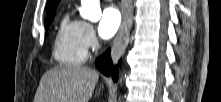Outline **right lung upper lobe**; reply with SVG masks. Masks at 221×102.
<instances>
[{
    "mask_svg": "<svg viewBox=\"0 0 221 102\" xmlns=\"http://www.w3.org/2000/svg\"><path fill=\"white\" fill-rule=\"evenodd\" d=\"M59 3V0H48L47 1V16L52 14V13H55V8L56 6L58 5Z\"/></svg>",
    "mask_w": 221,
    "mask_h": 102,
    "instance_id": "obj_1",
    "label": "right lung upper lobe"
}]
</instances>
